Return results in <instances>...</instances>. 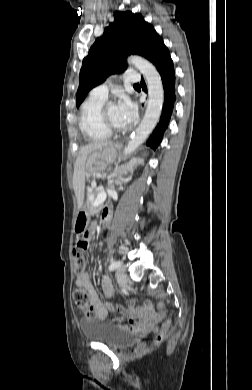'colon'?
I'll return each instance as SVG.
<instances>
[{"mask_svg":"<svg viewBox=\"0 0 252 390\" xmlns=\"http://www.w3.org/2000/svg\"><path fill=\"white\" fill-rule=\"evenodd\" d=\"M81 228L79 231L83 234L82 237L77 241L76 248L73 251V264L74 272L79 275L84 272L85 269V256L84 250L87 248V236L84 231L85 222L81 221ZM73 301L77 307L82 309L85 317L91 318L94 317L95 311L89 305V294L87 290L83 287H77L73 292ZM120 320V319H117ZM171 325V319H168L164 324L162 329L156 334V340L162 341L167 333L169 326Z\"/></svg>","mask_w":252,"mask_h":390,"instance_id":"obj_1","label":"colon"}]
</instances>
